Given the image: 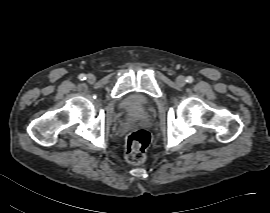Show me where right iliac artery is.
<instances>
[{
  "instance_id": "right-iliac-artery-1",
  "label": "right iliac artery",
  "mask_w": 270,
  "mask_h": 213,
  "mask_svg": "<svg viewBox=\"0 0 270 213\" xmlns=\"http://www.w3.org/2000/svg\"><path fill=\"white\" fill-rule=\"evenodd\" d=\"M78 78H79L81 81H83V80H85V79H86V77H85V75H84V74H80Z\"/></svg>"
}]
</instances>
